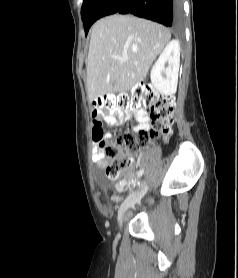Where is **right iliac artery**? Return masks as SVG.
Returning a JSON list of instances; mask_svg holds the SVG:
<instances>
[{"label":"right iliac artery","mask_w":238,"mask_h":278,"mask_svg":"<svg viewBox=\"0 0 238 278\" xmlns=\"http://www.w3.org/2000/svg\"><path fill=\"white\" fill-rule=\"evenodd\" d=\"M144 172V169H140L137 173V178L140 177Z\"/></svg>","instance_id":"right-iliac-artery-1"}]
</instances>
